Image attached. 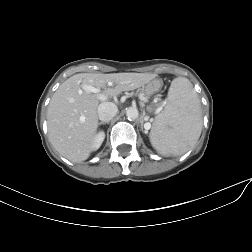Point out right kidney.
Wrapping results in <instances>:
<instances>
[{"label":"right kidney","mask_w":252,"mask_h":252,"mask_svg":"<svg viewBox=\"0 0 252 252\" xmlns=\"http://www.w3.org/2000/svg\"><path fill=\"white\" fill-rule=\"evenodd\" d=\"M105 138V133L103 131H100L98 134H96V136L94 137L91 149L92 150H97L102 142L104 141Z\"/></svg>","instance_id":"obj_1"}]
</instances>
